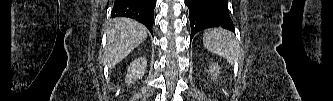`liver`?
I'll list each match as a JSON object with an SVG mask.
<instances>
[{
	"instance_id": "1",
	"label": "liver",
	"mask_w": 333,
	"mask_h": 101,
	"mask_svg": "<svg viewBox=\"0 0 333 101\" xmlns=\"http://www.w3.org/2000/svg\"><path fill=\"white\" fill-rule=\"evenodd\" d=\"M146 38V27L137 21L123 17L112 20L107 31V47L104 53L109 68L122 61Z\"/></svg>"
}]
</instances>
